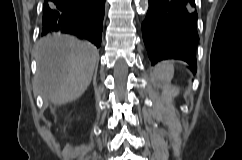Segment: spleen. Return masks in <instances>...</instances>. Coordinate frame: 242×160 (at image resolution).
Here are the masks:
<instances>
[{"label":"spleen","instance_id":"spleen-1","mask_svg":"<svg viewBox=\"0 0 242 160\" xmlns=\"http://www.w3.org/2000/svg\"><path fill=\"white\" fill-rule=\"evenodd\" d=\"M173 75L174 67L169 62L161 63L154 72V78L163 85V94L167 100L176 94L175 90L170 87Z\"/></svg>","mask_w":242,"mask_h":160}]
</instances>
